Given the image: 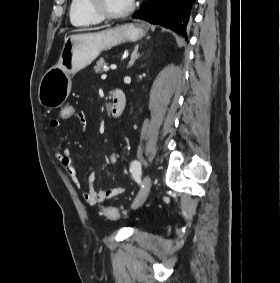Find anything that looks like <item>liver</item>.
Returning a JSON list of instances; mask_svg holds the SVG:
<instances>
[{
	"instance_id": "obj_1",
	"label": "liver",
	"mask_w": 280,
	"mask_h": 283,
	"mask_svg": "<svg viewBox=\"0 0 280 283\" xmlns=\"http://www.w3.org/2000/svg\"><path fill=\"white\" fill-rule=\"evenodd\" d=\"M100 29V27H97V28H85V29H79V30H76V31H90V30H98Z\"/></svg>"
}]
</instances>
